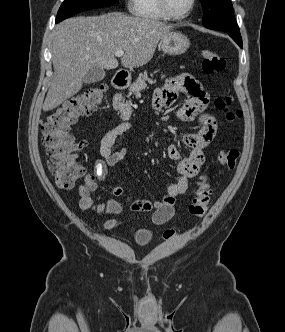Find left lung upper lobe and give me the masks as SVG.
<instances>
[{"label":"left lung upper lobe","instance_id":"5c2ea615","mask_svg":"<svg viewBox=\"0 0 285 332\" xmlns=\"http://www.w3.org/2000/svg\"><path fill=\"white\" fill-rule=\"evenodd\" d=\"M204 17L203 25L213 30L238 32L231 0H200Z\"/></svg>","mask_w":285,"mask_h":332}]
</instances>
